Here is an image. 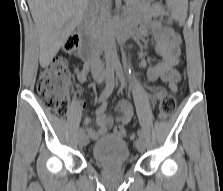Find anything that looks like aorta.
<instances>
[{
    "label": "aorta",
    "instance_id": "762f6f07",
    "mask_svg": "<svg viewBox=\"0 0 223 191\" xmlns=\"http://www.w3.org/2000/svg\"><path fill=\"white\" fill-rule=\"evenodd\" d=\"M102 46L105 53L107 65H117L119 63L115 37L111 29V19H107L105 30L102 36Z\"/></svg>",
    "mask_w": 223,
    "mask_h": 191
}]
</instances>
